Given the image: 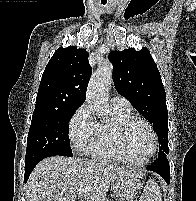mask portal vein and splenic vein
<instances>
[{
	"label": "portal vein and splenic vein",
	"instance_id": "1",
	"mask_svg": "<svg viewBox=\"0 0 196 201\" xmlns=\"http://www.w3.org/2000/svg\"><path fill=\"white\" fill-rule=\"evenodd\" d=\"M78 192H79V195H81V194H82V190H79Z\"/></svg>",
	"mask_w": 196,
	"mask_h": 201
}]
</instances>
